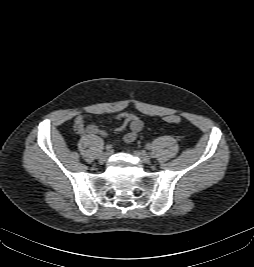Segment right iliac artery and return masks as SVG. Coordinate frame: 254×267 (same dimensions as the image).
Wrapping results in <instances>:
<instances>
[{"label": "right iliac artery", "mask_w": 254, "mask_h": 267, "mask_svg": "<svg viewBox=\"0 0 254 267\" xmlns=\"http://www.w3.org/2000/svg\"><path fill=\"white\" fill-rule=\"evenodd\" d=\"M105 149H106L107 151H110V150L112 149V146H111L110 144H108V145H106Z\"/></svg>", "instance_id": "1"}]
</instances>
